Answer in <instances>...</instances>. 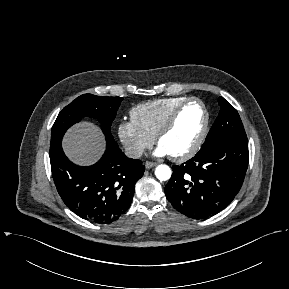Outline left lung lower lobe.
<instances>
[{
    "label": "left lung lower lobe",
    "mask_w": 289,
    "mask_h": 289,
    "mask_svg": "<svg viewBox=\"0 0 289 289\" xmlns=\"http://www.w3.org/2000/svg\"><path fill=\"white\" fill-rule=\"evenodd\" d=\"M247 166V140L217 139L184 164L172 167L166 197L174 208L190 218L209 217L235 198Z\"/></svg>",
    "instance_id": "1"
}]
</instances>
